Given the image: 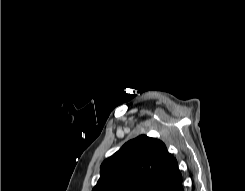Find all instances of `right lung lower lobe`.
Listing matches in <instances>:
<instances>
[{
  "mask_svg": "<svg viewBox=\"0 0 245 191\" xmlns=\"http://www.w3.org/2000/svg\"><path fill=\"white\" fill-rule=\"evenodd\" d=\"M172 191H184L182 187V182L179 185H177L174 189H172Z\"/></svg>",
  "mask_w": 245,
  "mask_h": 191,
  "instance_id": "98d812e1",
  "label": "right lung lower lobe"
}]
</instances>
